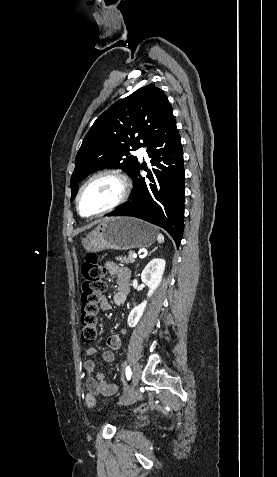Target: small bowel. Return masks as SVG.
<instances>
[{"label": "small bowel", "mask_w": 277, "mask_h": 477, "mask_svg": "<svg viewBox=\"0 0 277 477\" xmlns=\"http://www.w3.org/2000/svg\"><path fill=\"white\" fill-rule=\"evenodd\" d=\"M104 267L110 275L117 278V290L113 297L115 304L124 303L129 293V269L113 261L106 262ZM110 307V303L104 298L101 303V309L106 311L109 310ZM125 333V329H120L118 334H112L108 337V349L102 352V358L105 362L113 363L115 361L114 352L121 347V335ZM86 355H97V350L95 348H88ZM84 369L87 374L86 387L91 394L111 396L116 393L118 389L117 385L108 381L107 374L96 371V364L92 359H87L84 362Z\"/></svg>", "instance_id": "c3829d8e"}]
</instances>
